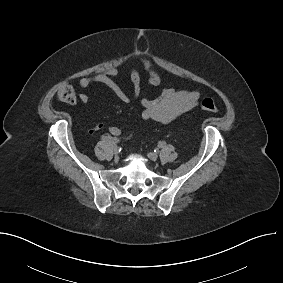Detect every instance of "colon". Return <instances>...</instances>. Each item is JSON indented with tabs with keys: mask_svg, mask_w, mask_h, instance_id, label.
I'll return each instance as SVG.
<instances>
[{
	"mask_svg": "<svg viewBox=\"0 0 283 283\" xmlns=\"http://www.w3.org/2000/svg\"><path fill=\"white\" fill-rule=\"evenodd\" d=\"M57 97L65 103H74L76 100L75 91L70 84H63L60 86L57 90ZM200 106L204 111L211 113L218 112L216 103L210 98L203 99Z\"/></svg>",
	"mask_w": 283,
	"mask_h": 283,
	"instance_id": "obj_1",
	"label": "colon"
}]
</instances>
